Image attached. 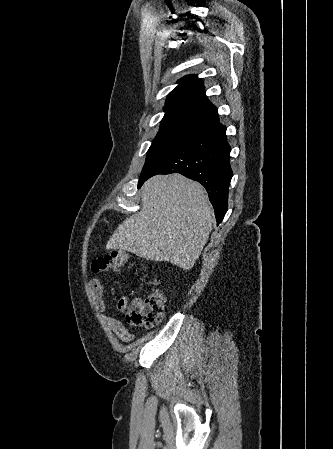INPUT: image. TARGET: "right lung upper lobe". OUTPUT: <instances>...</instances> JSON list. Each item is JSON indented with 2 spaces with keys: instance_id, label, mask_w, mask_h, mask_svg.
I'll use <instances>...</instances> for the list:
<instances>
[{
  "instance_id": "right-lung-upper-lobe-1",
  "label": "right lung upper lobe",
  "mask_w": 333,
  "mask_h": 449,
  "mask_svg": "<svg viewBox=\"0 0 333 449\" xmlns=\"http://www.w3.org/2000/svg\"><path fill=\"white\" fill-rule=\"evenodd\" d=\"M178 83L167 97L161 128L188 126L203 131L219 123L217 108L207 99L201 79L187 75Z\"/></svg>"
}]
</instances>
